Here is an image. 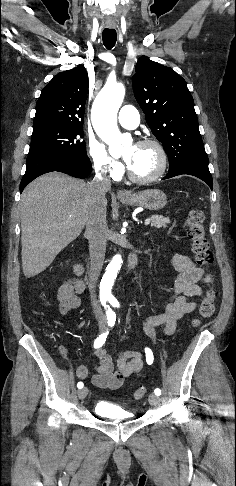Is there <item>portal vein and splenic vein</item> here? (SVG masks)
<instances>
[{
  "label": "portal vein and splenic vein",
  "instance_id": "portal-vein-and-splenic-vein-1",
  "mask_svg": "<svg viewBox=\"0 0 236 486\" xmlns=\"http://www.w3.org/2000/svg\"><path fill=\"white\" fill-rule=\"evenodd\" d=\"M146 226L150 224V219H146L145 220V223H144Z\"/></svg>",
  "mask_w": 236,
  "mask_h": 486
}]
</instances>
